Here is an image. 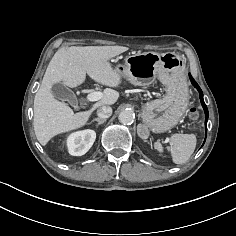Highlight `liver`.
Wrapping results in <instances>:
<instances>
[{"instance_id": "1", "label": "liver", "mask_w": 236, "mask_h": 236, "mask_svg": "<svg viewBox=\"0 0 236 236\" xmlns=\"http://www.w3.org/2000/svg\"><path fill=\"white\" fill-rule=\"evenodd\" d=\"M125 46H71L60 48L52 57L41 86L34 98L33 126L39 143L45 146L54 136L83 127L93 111L102 105H112L119 93L106 89L102 98L89 110L74 113L65 103L54 98L51 88L63 82L75 88L85 82L86 74L97 83L118 87L122 76L109 60L125 51Z\"/></svg>"}]
</instances>
